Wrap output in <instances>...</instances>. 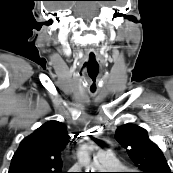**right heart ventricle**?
Returning a JSON list of instances; mask_svg holds the SVG:
<instances>
[{"label":"right heart ventricle","mask_w":173,"mask_h":173,"mask_svg":"<svg viewBox=\"0 0 173 173\" xmlns=\"http://www.w3.org/2000/svg\"><path fill=\"white\" fill-rule=\"evenodd\" d=\"M113 169H116V170H122L124 169L122 163H120L118 160L115 159V163H114V166L112 167Z\"/></svg>","instance_id":"obj_1"}]
</instances>
